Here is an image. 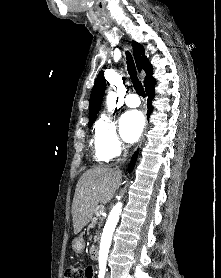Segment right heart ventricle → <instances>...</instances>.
Here are the masks:
<instances>
[{
  "instance_id": "obj_1",
  "label": "right heart ventricle",
  "mask_w": 221,
  "mask_h": 278,
  "mask_svg": "<svg viewBox=\"0 0 221 278\" xmlns=\"http://www.w3.org/2000/svg\"><path fill=\"white\" fill-rule=\"evenodd\" d=\"M94 158L99 163H104L109 160L107 155L98 148L96 143H95V147H94Z\"/></svg>"
}]
</instances>
